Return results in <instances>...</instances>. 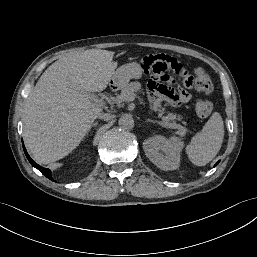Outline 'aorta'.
Segmentation results:
<instances>
[{"mask_svg":"<svg viewBox=\"0 0 257 257\" xmlns=\"http://www.w3.org/2000/svg\"><path fill=\"white\" fill-rule=\"evenodd\" d=\"M118 124L125 130H130L134 127V120L131 115L123 114L118 120Z\"/></svg>","mask_w":257,"mask_h":257,"instance_id":"obj_1","label":"aorta"}]
</instances>
